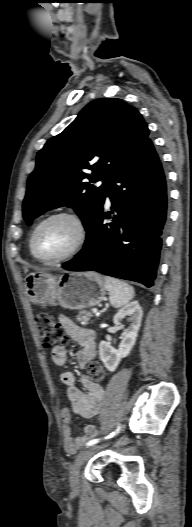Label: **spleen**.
<instances>
[{
    "label": "spleen",
    "instance_id": "1",
    "mask_svg": "<svg viewBox=\"0 0 192 527\" xmlns=\"http://www.w3.org/2000/svg\"><path fill=\"white\" fill-rule=\"evenodd\" d=\"M104 284L109 291V300L114 308L127 305L134 297V288L124 281L105 276Z\"/></svg>",
    "mask_w": 192,
    "mask_h": 527
}]
</instances>
